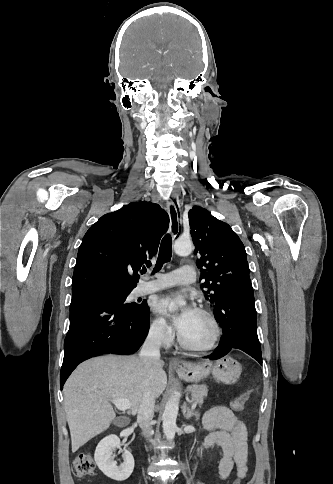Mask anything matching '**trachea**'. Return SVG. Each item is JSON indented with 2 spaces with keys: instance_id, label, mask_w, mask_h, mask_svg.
Masks as SVG:
<instances>
[{
  "instance_id": "trachea-1",
  "label": "trachea",
  "mask_w": 333,
  "mask_h": 484,
  "mask_svg": "<svg viewBox=\"0 0 333 484\" xmlns=\"http://www.w3.org/2000/svg\"><path fill=\"white\" fill-rule=\"evenodd\" d=\"M171 256H172V237L170 234H166L161 241L158 259H157L153 274L155 272H158L162 268L164 263L169 262L171 260ZM145 272L146 271H144V273Z\"/></svg>"
}]
</instances>
